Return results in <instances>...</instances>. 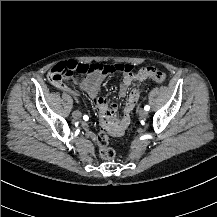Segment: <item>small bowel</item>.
Here are the masks:
<instances>
[{"mask_svg": "<svg viewBox=\"0 0 217 217\" xmlns=\"http://www.w3.org/2000/svg\"><path fill=\"white\" fill-rule=\"evenodd\" d=\"M156 69L152 66H146L139 69L137 72H129L125 73L122 77L120 86H119V96L125 97L128 94V90L133 81H143L153 76V73ZM105 73H98L87 75L82 79L74 80L75 84L80 87L82 91L87 93L92 103L96 106L98 111L102 114L100 116V125L103 129L107 130V135L109 137H115L117 135H121L123 133V129L126 128L130 123V114L134 110L140 95L141 91L139 89H132L128 98L124 104L122 117L119 121V125H117V118L115 116V112L118 108L116 104H112L111 107H108L106 98L100 94V88L104 81ZM63 92H66L72 96L77 97V91L71 89L63 82L57 86ZM115 111V112H114ZM86 129L87 135L91 137L96 142V146L99 149L98 137L92 131H90L86 125H84Z\"/></svg>", "mask_w": 217, "mask_h": 217, "instance_id": "obj_1", "label": "small bowel"}]
</instances>
